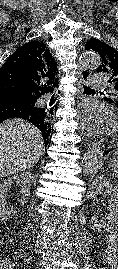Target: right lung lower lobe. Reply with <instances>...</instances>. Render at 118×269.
Wrapping results in <instances>:
<instances>
[{"label":"right lung lower lobe","mask_w":118,"mask_h":269,"mask_svg":"<svg viewBox=\"0 0 118 269\" xmlns=\"http://www.w3.org/2000/svg\"><path fill=\"white\" fill-rule=\"evenodd\" d=\"M36 109V105L17 98L8 97L0 99V123L15 117L31 121V117L35 114ZM45 142H48V139Z\"/></svg>","instance_id":"obj_1"}]
</instances>
